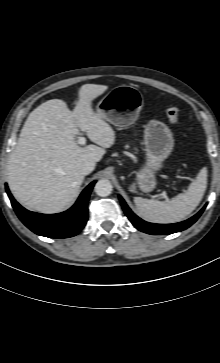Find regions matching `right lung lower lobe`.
<instances>
[{"label": "right lung lower lobe", "instance_id": "right-lung-lower-lobe-1", "mask_svg": "<svg viewBox=\"0 0 220 363\" xmlns=\"http://www.w3.org/2000/svg\"><path fill=\"white\" fill-rule=\"evenodd\" d=\"M94 184L95 181L84 189L73 207L58 214L28 211L15 201L7 186L6 192L20 220L34 233L49 238H68L78 234L87 222V203Z\"/></svg>", "mask_w": 220, "mask_h": 363}]
</instances>
